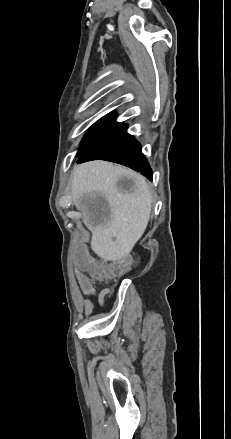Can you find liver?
Segmentation results:
<instances>
[{
  "mask_svg": "<svg viewBox=\"0 0 231 439\" xmlns=\"http://www.w3.org/2000/svg\"><path fill=\"white\" fill-rule=\"evenodd\" d=\"M121 177L134 182L130 192L118 188ZM100 193L107 201L100 218L84 212L83 200ZM71 194L76 207L84 214V223L92 232L91 248L104 261L128 256L144 234L151 213L152 193L145 178L137 172L106 161H92L74 168Z\"/></svg>",
  "mask_w": 231,
  "mask_h": 439,
  "instance_id": "obj_1",
  "label": "liver"
}]
</instances>
